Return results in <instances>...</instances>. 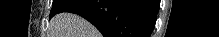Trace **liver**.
<instances>
[{
	"label": "liver",
	"instance_id": "1",
	"mask_svg": "<svg viewBox=\"0 0 219 37\" xmlns=\"http://www.w3.org/2000/svg\"><path fill=\"white\" fill-rule=\"evenodd\" d=\"M52 37H97L98 31L82 17L72 13L57 14L50 22Z\"/></svg>",
	"mask_w": 219,
	"mask_h": 37
}]
</instances>
